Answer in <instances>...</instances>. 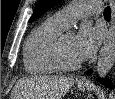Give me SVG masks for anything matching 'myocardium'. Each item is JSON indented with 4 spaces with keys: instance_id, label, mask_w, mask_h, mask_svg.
Returning <instances> with one entry per match:
<instances>
[{
    "instance_id": "obj_1",
    "label": "myocardium",
    "mask_w": 115,
    "mask_h": 99,
    "mask_svg": "<svg viewBox=\"0 0 115 99\" xmlns=\"http://www.w3.org/2000/svg\"><path fill=\"white\" fill-rule=\"evenodd\" d=\"M61 40L57 39L54 48H53V58L58 67L61 70H76L81 67L82 62H70L68 61L62 51Z\"/></svg>"
}]
</instances>
